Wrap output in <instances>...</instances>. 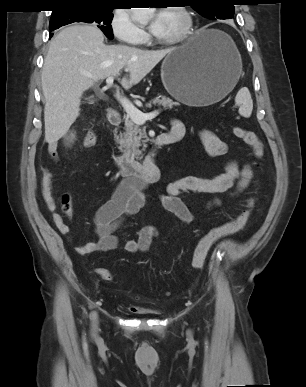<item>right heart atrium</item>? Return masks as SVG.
Here are the masks:
<instances>
[{"label":"right heart atrium","mask_w":306,"mask_h":387,"mask_svg":"<svg viewBox=\"0 0 306 387\" xmlns=\"http://www.w3.org/2000/svg\"><path fill=\"white\" fill-rule=\"evenodd\" d=\"M110 28L114 37L124 44L140 45L147 38L145 30L133 20L127 9L118 8L113 11Z\"/></svg>","instance_id":"1"}]
</instances>
